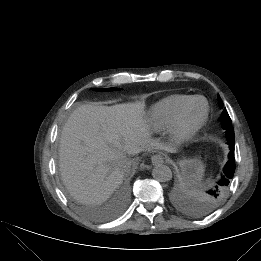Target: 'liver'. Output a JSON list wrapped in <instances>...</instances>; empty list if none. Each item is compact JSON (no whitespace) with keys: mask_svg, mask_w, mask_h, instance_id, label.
Masks as SVG:
<instances>
[{"mask_svg":"<svg viewBox=\"0 0 261 261\" xmlns=\"http://www.w3.org/2000/svg\"><path fill=\"white\" fill-rule=\"evenodd\" d=\"M144 103L114 106L81 105L65 123L59 149L60 171L71 195L85 204L106 201L129 172L124 157L152 148L163 149L150 138Z\"/></svg>","mask_w":261,"mask_h":261,"instance_id":"liver-1","label":"liver"}]
</instances>
